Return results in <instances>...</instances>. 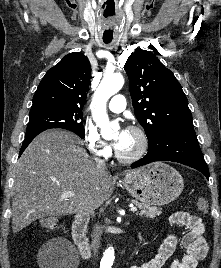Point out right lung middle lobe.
Instances as JSON below:
<instances>
[{
    "label": "right lung middle lobe",
    "mask_w": 221,
    "mask_h": 268,
    "mask_svg": "<svg viewBox=\"0 0 221 268\" xmlns=\"http://www.w3.org/2000/svg\"><path fill=\"white\" fill-rule=\"evenodd\" d=\"M82 111L52 109L38 112H30V120L27 132L34 130H46L50 128H62L76 133L84 138V126Z\"/></svg>",
    "instance_id": "dd1d6c3e"
}]
</instances>
